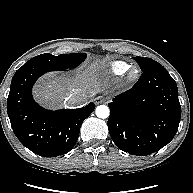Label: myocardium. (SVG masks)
Segmentation results:
<instances>
[{
  "instance_id": "obj_1",
  "label": "myocardium",
  "mask_w": 193,
  "mask_h": 193,
  "mask_svg": "<svg viewBox=\"0 0 193 193\" xmlns=\"http://www.w3.org/2000/svg\"><path fill=\"white\" fill-rule=\"evenodd\" d=\"M138 78V70L135 68H132L129 72H128V79L130 81H135Z\"/></svg>"
}]
</instances>
